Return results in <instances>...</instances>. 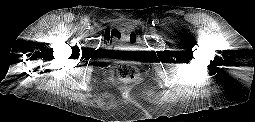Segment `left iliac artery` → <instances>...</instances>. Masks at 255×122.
Returning <instances> with one entry per match:
<instances>
[{
	"label": "left iliac artery",
	"instance_id": "obj_1",
	"mask_svg": "<svg viewBox=\"0 0 255 122\" xmlns=\"http://www.w3.org/2000/svg\"><path fill=\"white\" fill-rule=\"evenodd\" d=\"M152 24H153V26H155L156 24H158V21L157 20L152 21Z\"/></svg>",
	"mask_w": 255,
	"mask_h": 122
}]
</instances>
